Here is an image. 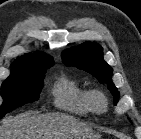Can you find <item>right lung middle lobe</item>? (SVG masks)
<instances>
[{
  "mask_svg": "<svg viewBox=\"0 0 141 139\" xmlns=\"http://www.w3.org/2000/svg\"><path fill=\"white\" fill-rule=\"evenodd\" d=\"M51 66L11 70L10 76L3 82L1 87L4 102L0 107V118L16 107L39 99L44 74L46 69Z\"/></svg>",
  "mask_w": 141,
  "mask_h": 139,
  "instance_id": "dd1d6c3e",
  "label": "right lung middle lobe"
}]
</instances>
